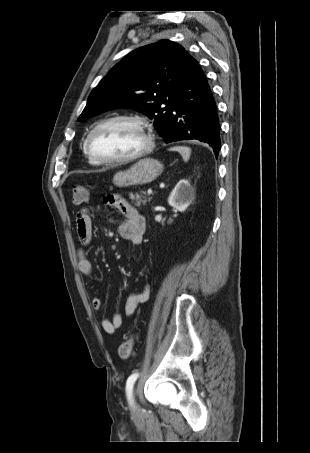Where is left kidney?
<instances>
[{"instance_id": "obj_1", "label": "left kidney", "mask_w": 310, "mask_h": 453, "mask_svg": "<svg viewBox=\"0 0 310 453\" xmlns=\"http://www.w3.org/2000/svg\"><path fill=\"white\" fill-rule=\"evenodd\" d=\"M193 200V191L188 180H180L168 197V203L179 212H184Z\"/></svg>"}]
</instances>
